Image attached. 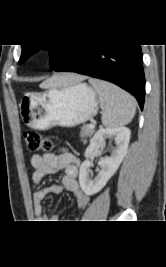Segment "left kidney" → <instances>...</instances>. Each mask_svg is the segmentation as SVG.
<instances>
[{"label": "left kidney", "mask_w": 166, "mask_h": 267, "mask_svg": "<svg viewBox=\"0 0 166 267\" xmlns=\"http://www.w3.org/2000/svg\"><path fill=\"white\" fill-rule=\"evenodd\" d=\"M130 135L131 131L126 127L101 128L95 133L85 151L86 160L81 164L79 172V183L86 195L91 196L99 192L115 174L126 155ZM112 137L115 138L116 147L110 156L99 160L100 170L94 178H90V157L103 149L106 139Z\"/></svg>", "instance_id": "obj_1"}]
</instances>
